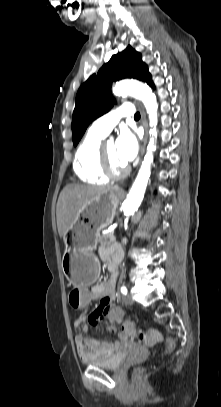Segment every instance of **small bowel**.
<instances>
[{
	"mask_svg": "<svg viewBox=\"0 0 221 407\" xmlns=\"http://www.w3.org/2000/svg\"><path fill=\"white\" fill-rule=\"evenodd\" d=\"M117 248L102 247L99 250V256L102 260L108 261L114 254ZM117 280V273L114 271L109 280L104 282H97L90 285L89 300L90 302L95 299H100V303L89 315L88 321L92 325L100 324L103 318H107L108 321L113 323L110 318L106 316V311L110 306L115 305V284ZM124 313V311L122 312ZM74 327L78 330H86L85 317L81 316L74 321ZM108 331L111 333L116 332V328L113 325L108 326ZM126 332L127 330H123ZM75 346L79 357L82 361L87 362L90 360L104 359L110 356L117 350V345L110 343H99L96 340L77 334L74 337Z\"/></svg>",
	"mask_w": 221,
	"mask_h": 407,
	"instance_id": "c3829d8e",
	"label": "small bowel"
}]
</instances>
